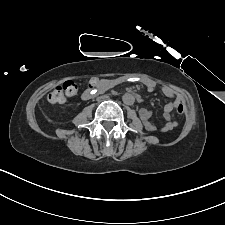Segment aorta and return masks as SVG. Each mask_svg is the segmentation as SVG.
<instances>
[{
    "label": "aorta",
    "mask_w": 225,
    "mask_h": 225,
    "mask_svg": "<svg viewBox=\"0 0 225 225\" xmlns=\"http://www.w3.org/2000/svg\"><path fill=\"white\" fill-rule=\"evenodd\" d=\"M122 100L127 105H132L135 101V98L132 94L126 93L123 95Z\"/></svg>",
    "instance_id": "1"
}]
</instances>
